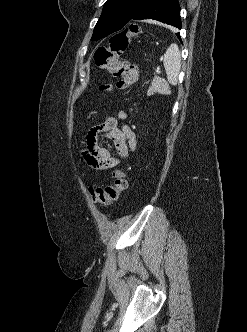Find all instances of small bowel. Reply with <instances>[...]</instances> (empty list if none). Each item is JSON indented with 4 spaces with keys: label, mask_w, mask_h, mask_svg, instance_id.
I'll use <instances>...</instances> for the list:
<instances>
[{
    "label": "small bowel",
    "mask_w": 247,
    "mask_h": 332,
    "mask_svg": "<svg viewBox=\"0 0 247 332\" xmlns=\"http://www.w3.org/2000/svg\"><path fill=\"white\" fill-rule=\"evenodd\" d=\"M123 112L118 118L108 117L103 123L90 128L85 139L84 159L87 164L95 169H106L118 163L116 158L111 157L107 148L99 142L101 134L111 141L121 157H126L135 149L136 136L128 126H119L118 119H124Z\"/></svg>",
    "instance_id": "obj_1"
}]
</instances>
